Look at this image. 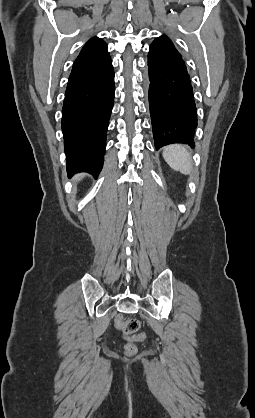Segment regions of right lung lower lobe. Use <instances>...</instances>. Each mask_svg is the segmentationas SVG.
<instances>
[{"label": "right lung lower lobe", "instance_id": "obj_1", "mask_svg": "<svg viewBox=\"0 0 255 418\" xmlns=\"http://www.w3.org/2000/svg\"><path fill=\"white\" fill-rule=\"evenodd\" d=\"M114 93L110 56L88 64L73 65L61 123L70 175L84 171L97 177L101 171Z\"/></svg>", "mask_w": 255, "mask_h": 418}]
</instances>
